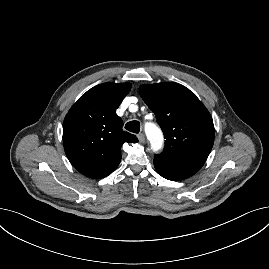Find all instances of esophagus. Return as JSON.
I'll return each instance as SVG.
<instances>
[{
    "label": "esophagus",
    "mask_w": 269,
    "mask_h": 269,
    "mask_svg": "<svg viewBox=\"0 0 269 269\" xmlns=\"http://www.w3.org/2000/svg\"><path fill=\"white\" fill-rule=\"evenodd\" d=\"M138 139L140 143H144L145 142V135L143 133H140L138 135Z\"/></svg>",
    "instance_id": "34e87169"
}]
</instances>
